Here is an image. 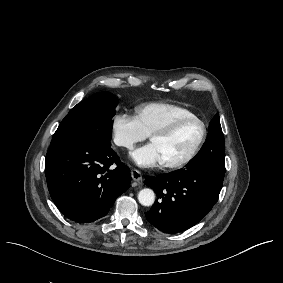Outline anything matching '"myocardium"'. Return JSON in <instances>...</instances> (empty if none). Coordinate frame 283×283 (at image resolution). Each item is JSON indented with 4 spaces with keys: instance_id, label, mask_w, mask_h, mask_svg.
<instances>
[{
    "instance_id": "myocardium-1",
    "label": "myocardium",
    "mask_w": 283,
    "mask_h": 283,
    "mask_svg": "<svg viewBox=\"0 0 283 283\" xmlns=\"http://www.w3.org/2000/svg\"><path fill=\"white\" fill-rule=\"evenodd\" d=\"M188 121H195L198 122L201 125V134L200 137L196 143V145L194 146V148L191 150V152L181 161L178 162H167L165 163V166L169 169H181L185 166H187L188 164H190L195 158L196 156L199 154V152L201 151L203 145L206 142L207 139V135H208V128L206 123L204 122L203 119H201L200 117L196 116V115H184V116H180L177 119H175L173 122H171L167 127H165L163 130L158 131L154 134H152L151 139L153 138H170L177 130V128Z\"/></svg>"
}]
</instances>
